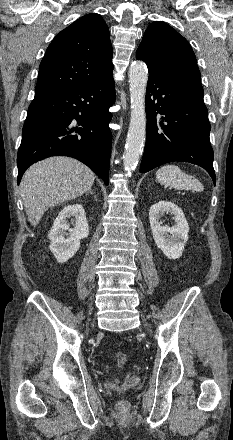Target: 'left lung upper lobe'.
I'll list each match as a JSON object with an SVG mask.
<instances>
[{
  "mask_svg": "<svg viewBox=\"0 0 233 440\" xmlns=\"http://www.w3.org/2000/svg\"><path fill=\"white\" fill-rule=\"evenodd\" d=\"M149 76L202 89L195 54L186 39L165 22L148 26L136 53Z\"/></svg>",
  "mask_w": 233,
  "mask_h": 440,
  "instance_id": "obj_1",
  "label": "left lung upper lobe"
}]
</instances>
